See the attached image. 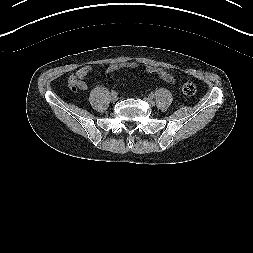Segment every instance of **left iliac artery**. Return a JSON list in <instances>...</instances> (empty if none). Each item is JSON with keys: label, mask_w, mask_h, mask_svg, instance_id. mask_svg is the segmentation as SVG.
Masks as SVG:
<instances>
[{"label": "left iliac artery", "mask_w": 253, "mask_h": 253, "mask_svg": "<svg viewBox=\"0 0 253 253\" xmlns=\"http://www.w3.org/2000/svg\"><path fill=\"white\" fill-rule=\"evenodd\" d=\"M150 98H154V94L153 93L150 94Z\"/></svg>", "instance_id": "left-iliac-artery-1"}]
</instances>
